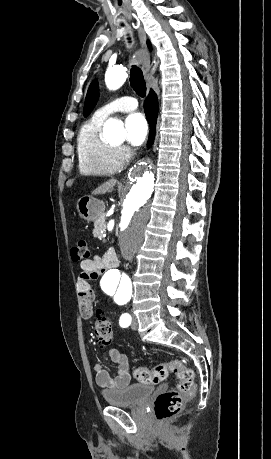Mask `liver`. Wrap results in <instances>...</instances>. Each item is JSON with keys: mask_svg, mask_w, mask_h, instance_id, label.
I'll list each match as a JSON object with an SVG mask.
<instances>
[{"mask_svg": "<svg viewBox=\"0 0 271 459\" xmlns=\"http://www.w3.org/2000/svg\"><path fill=\"white\" fill-rule=\"evenodd\" d=\"M117 180H108V182H105V184H102V186H99V188H96V190H93L92 194L96 196V194H106V192H112L114 186H116Z\"/></svg>", "mask_w": 271, "mask_h": 459, "instance_id": "6515ba94", "label": "liver"}]
</instances>
